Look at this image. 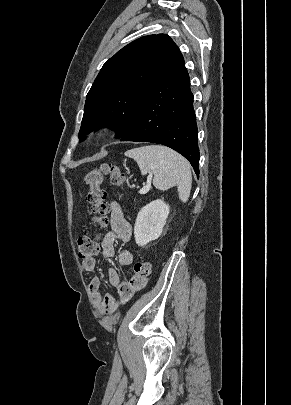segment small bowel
Masks as SVG:
<instances>
[{
  "mask_svg": "<svg viewBox=\"0 0 291 405\" xmlns=\"http://www.w3.org/2000/svg\"><path fill=\"white\" fill-rule=\"evenodd\" d=\"M110 212V227L111 230L105 234L101 242V252L106 258H111L115 254V243L117 240L129 242L132 237V227L125 219L121 206L116 201H111L108 204ZM133 254L129 250H123L118 254V262L120 265H130L133 262ZM96 268L94 258L84 260L82 269L85 272H93ZM108 283L116 288L117 295L122 303L127 302L132 295L142 289L146 280H135L131 278L129 281H121L119 273L115 268L108 270ZM101 281L98 277H93L88 285V291L92 299L94 308L100 315H106L112 312L118 305L117 298L107 293L102 295L100 292Z\"/></svg>",
  "mask_w": 291,
  "mask_h": 405,
  "instance_id": "1",
  "label": "small bowel"
}]
</instances>
